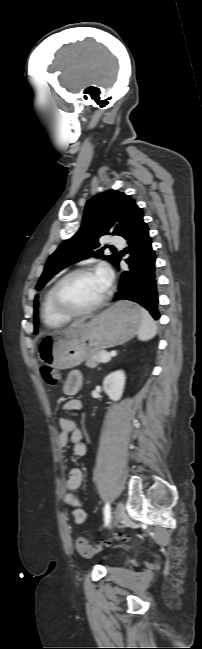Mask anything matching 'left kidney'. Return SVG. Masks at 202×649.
Returning <instances> with one entry per match:
<instances>
[{"instance_id": "5707ae66", "label": "left kidney", "mask_w": 202, "mask_h": 649, "mask_svg": "<svg viewBox=\"0 0 202 649\" xmlns=\"http://www.w3.org/2000/svg\"><path fill=\"white\" fill-rule=\"evenodd\" d=\"M125 374L123 371L112 372L103 380V389L111 400L118 401L125 387Z\"/></svg>"}]
</instances>
